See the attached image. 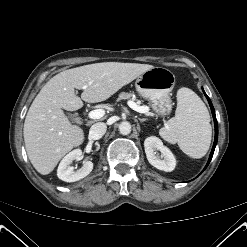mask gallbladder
<instances>
[{"mask_svg":"<svg viewBox=\"0 0 247 247\" xmlns=\"http://www.w3.org/2000/svg\"><path fill=\"white\" fill-rule=\"evenodd\" d=\"M68 117L70 118V120L74 123H78L79 121V117L77 114H69Z\"/></svg>","mask_w":247,"mask_h":247,"instance_id":"obj_1","label":"gallbladder"}]
</instances>
